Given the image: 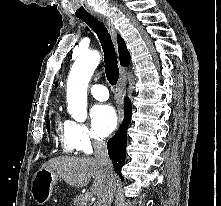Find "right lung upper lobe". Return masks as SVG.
Listing matches in <instances>:
<instances>
[{
	"instance_id": "right-lung-upper-lobe-1",
	"label": "right lung upper lobe",
	"mask_w": 221,
	"mask_h": 206,
	"mask_svg": "<svg viewBox=\"0 0 221 206\" xmlns=\"http://www.w3.org/2000/svg\"><path fill=\"white\" fill-rule=\"evenodd\" d=\"M119 57L122 66H128L130 62V54L126 48V44L120 35L117 36ZM57 86V83H56Z\"/></svg>"
}]
</instances>
